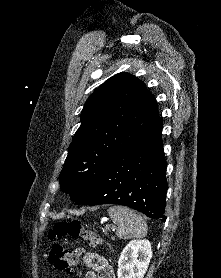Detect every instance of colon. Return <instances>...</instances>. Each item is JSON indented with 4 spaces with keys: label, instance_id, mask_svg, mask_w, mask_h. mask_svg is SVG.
I'll use <instances>...</instances> for the list:
<instances>
[{
    "label": "colon",
    "instance_id": "1",
    "mask_svg": "<svg viewBox=\"0 0 221 278\" xmlns=\"http://www.w3.org/2000/svg\"><path fill=\"white\" fill-rule=\"evenodd\" d=\"M70 236L81 238L91 245L102 244L101 237L86 227L80 221L72 220L71 222H59L50 231L49 238L52 240L56 237ZM79 250L62 246L58 243L50 242L47 252L48 262L58 270H65L70 273L77 272Z\"/></svg>",
    "mask_w": 221,
    "mask_h": 278
}]
</instances>
